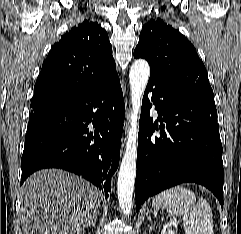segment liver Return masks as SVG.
<instances>
[{"instance_id":"liver-1","label":"liver","mask_w":241,"mask_h":234,"mask_svg":"<svg viewBox=\"0 0 241 234\" xmlns=\"http://www.w3.org/2000/svg\"><path fill=\"white\" fill-rule=\"evenodd\" d=\"M23 234H82L99 212L101 192L60 169L32 174L22 185Z\"/></svg>"}]
</instances>
